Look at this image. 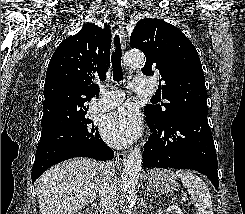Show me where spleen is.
Returning <instances> with one entry per match:
<instances>
[{"label": "spleen", "instance_id": "spleen-1", "mask_svg": "<svg viewBox=\"0 0 245 214\" xmlns=\"http://www.w3.org/2000/svg\"><path fill=\"white\" fill-rule=\"evenodd\" d=\"M176 176L187 187L189 195L196 203L197 214H213L211 196L204 181L188 170H177Z\"/></svg>", "mask_w": 245, "mask_h": 214}]
</instances>
